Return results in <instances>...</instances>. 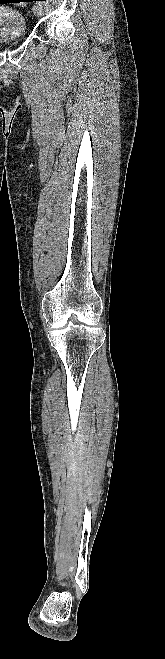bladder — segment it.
Wrapping results in <instances>:
<instances>
[{"label":"bladder","mask_w":165,"mask_h":659,"mask_svg":"<svg viewBox=\"0 0 165 659\" xmlns=\"http://www.w3.org/2000/svg\"><path fill=\"white\" fill-rule=\"evenodd\" d=\"M11 13L10 10L0 8V41L19 39L26 35L23 21Z\"/></svg>","instance_id":"31cf9c89"}]
</instances>
